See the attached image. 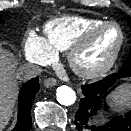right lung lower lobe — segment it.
Returning a JSON list of instances; mask_svg holds the SVG:
<instances>
[{"label":"right lung lower lobe","instance_id":"1","mask_svg":"<svg viewBox=\"0 0 131 131\" xmlns=\"http://www.w3.org/2000/svg\"><path fill=\"white\" fill-rule=\"evenodd\" d=\"M40 89L39 78L36 77L25 83L19 94L18 100V120L12 131H29L31 127V106L35 95Z\"/></svg>","mask_w":131,"mask_h":131}]
</instances>
